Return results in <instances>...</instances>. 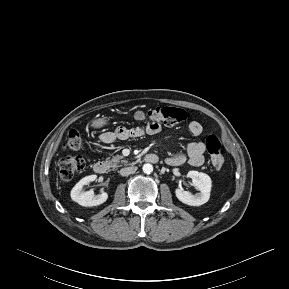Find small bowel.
I'll return each mask as SVG.
<instances>
[{
	"label": "small bowel",
	"instance_id": "c3829d8e",
	"mask_svg": "<svg viewBox=\"0 0 289 289\" xmlns=\"http://www.w3.org/2000/svg\"><path fill=\"white\" fill-rule=\"evenodd\" d=\"M189 131L192 136L198 137L203 132L202 125L197 121H192L189 124ZM161 131L159 123H148L144 127L126 128L123 126L117 127L114 131L104 132L100 135V141L105 144L112 143L116 140H127L137 138L144 135H155ZM205 142L198 140L189 143L186 146V156L192 166L199 167L204 163ZM186 156L182 153L175 154L166 159V163L171 166H178L186 160Z\"/></svg>",
	"mask_w": 289,
	"mask_h": 289
}]
</instances>
